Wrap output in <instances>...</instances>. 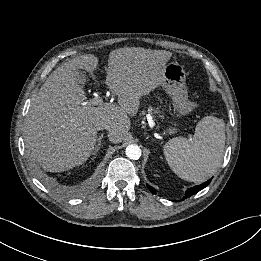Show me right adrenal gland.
Segmentation results:
<instances>
[{
  "mask_svg": "<svg viewBox=\"0 0 261 261\" xmlns=\"http://www.w3.org/2000/svg\"><path fill=\"white\" fill-rule=\"evenodd\" d=\"M103 135L104 134H101L99 137H98V139H97V145H95V148H94V150H93V152H92V155H97V152L100 150V148H101V141H102V139H103ZM95 158V157H94Z\"/></svg>",
  "mask_w": 261,
  "mask_h": 261,
  "instance_id": "2a0ac1e0",
  "label": "right adrenal gland"
}]
</instances>
